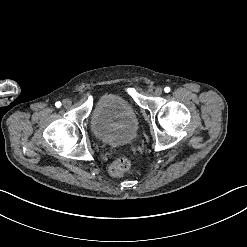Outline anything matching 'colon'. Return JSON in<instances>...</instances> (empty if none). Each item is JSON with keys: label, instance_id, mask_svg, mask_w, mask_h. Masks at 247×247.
<instances>
[{"label": "colon", "instance_id": "colon-1", "mask_svg": "<svg viewBox=\"0 0 247 247\" xmlns=\"http://www.w3.org/2000/svg\"><path fill=\"white\" fill-rule=\"evenodd\" d=\"M128 165H131L130 160L126 157H121L117 163L109 166V173L114 177L121 176L126 172V167Z\"/></svg>", "mask_w": 247, "mask_h": 247}]
</instances>
